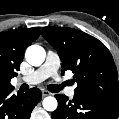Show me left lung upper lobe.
I'll list each match as a JSON object with an SVG mask.
<instances>
[{"label":"left lung upper lobe","instance_id":"left-lung-upper-lobe-1","mask_svg":"<svg viewBox=\"0 0 119 119\" xmlns=\"http://www.w3.org/2000/svg\"><path fill=\"white\" fill-rule=\"evenodd\" d=\"M42 35L59 54L62 72L71 70L74 73L75 93L119 100L117 69L101 41L68 27H44Z\"/></svg>","mask_w":119,"mask_h":119}]
</instances>
